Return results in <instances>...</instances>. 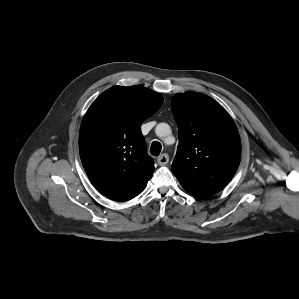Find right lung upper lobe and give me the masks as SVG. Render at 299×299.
Returning a JSON list of instances; mask_svg holds the SVG:
<instances>
[{
  "label": "right lung upper lobe",
  "instance_id": "right-lung-upper-lobe-1",
  "mask_svg": "<svg viewBox=\"0 0 299 299\" xmlns=\"http://www.w3.org/2000/svg\"><path fill=\"white\" fill-rule=\"evenodd\" d=\"M162 96L141 86H114L87 110L79 151L93 186L109 198L127 201L140 194L153 175L141 123L162 105Z\"/></svg>",
  "mask_w": 299,
  "mask_h": 299
}]
</instances>
